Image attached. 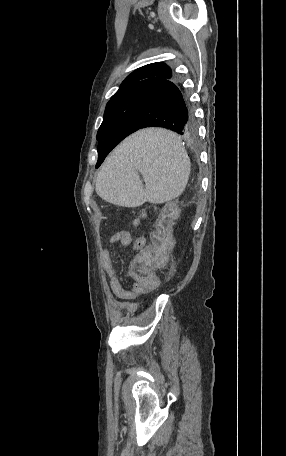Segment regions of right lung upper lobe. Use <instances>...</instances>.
<instances>
[{"label":"right lung upper lobe","instance_id":"right-lung-upper-lobe-1","mask_svg":"<svg viewBox=\"0 0 286 456\" xmlns=\"http://www.w3.org/2000/svg\"><path fill=\"white\" fill-rule=\"evenodd\" d=\"M172 77L171 69L164 63H152L132 72L121 84L109 102L121 99L130 92Z\"/></svg>","mask_w":286,"mask_h":456}]
</instances>
